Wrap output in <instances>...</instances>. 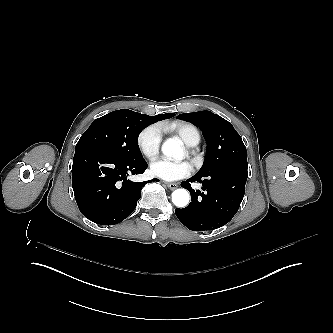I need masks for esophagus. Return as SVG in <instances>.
Instances as JSON below:
<instances>
[{
	"label": "esophagus",
	"instance_id": "esophagus-1",
	"mask_svg": "<svg viewBox=\"0 0 333 333\" xmlns=\"http://www.w3.org/2000/svg\"><path fill=\"white\" fill-rule=\"evenodd\" d=\"M166 185L170 190H175L178 187L176 183H166Z\"/></svg>",
	"mask_w": 333,
	"mask_h": 333
}]
</instances>
